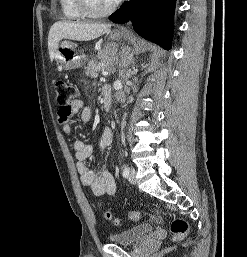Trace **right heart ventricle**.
<instances>
[{"label":"right heart ventricle","instance_id":"right-heart-ventricle-1","mask_svg":"<svg viewBox=\"0 0 247 257\" xmlns=\"http://www.w3.org/2000/svg\"><path fill=\"white\" fill-rule=\"evenodd\" d=\"M62 17L66 20H79L85 16L80 12L76 0H59Z\"/></svg>","mask_w":247,"mask_h":257}]
</instances>
